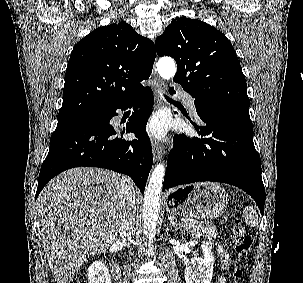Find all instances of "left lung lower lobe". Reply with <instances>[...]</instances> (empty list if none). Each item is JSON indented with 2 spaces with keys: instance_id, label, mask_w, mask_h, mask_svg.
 <instances>
[{
  "instance_id": "1",
  "label": "left lung lower lobe",
  "mask_w": 303,
  "mask_h": 283,
  "mask_svg": "<svg viewBox=\"0 0 303 283\" xmlns=\"http://www.w3.org/2000/svg\"><path fill=\"white\" fill-rule=\"evenodd\" d=\"M195 106L204 122L194 124L201 138L175 135L164 188L200 181L231 184L247 192L263 215L265 189L249 108L196 99Z\"/></svg>"
}]
</instances>
